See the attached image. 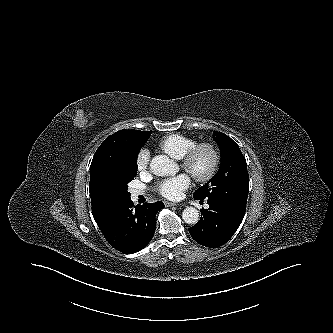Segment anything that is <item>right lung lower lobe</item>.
Wrapping results in <instances>:
<instances>
[{"instance_id": "98d812e1", "label": "right lung lower lobe", "mask_w": 333, "mask_h": 333, "mask_svg": "<svg viewBox=\"0 0 333 333\" xmlns=\"http://www.w3.org/2000/svg\"><path fill=\"white\" fill-rule=\"evenodd\" d=\"M163 208L162 201L134 206L128 199L114 206L98 226L113 248L124 254L135 253L152 239L155 216Z\"/></svg>"}]
</instances>
